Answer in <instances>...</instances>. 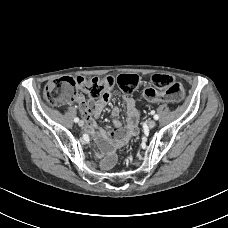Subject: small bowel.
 <instances>
[{
  "label": "small bowel",
  "instance_id": "c3829d8e",
  "mask_svg": "<svg viewBox=\"0 0 228 228\" xmlns=\"http://www.w3.org/2000/svg\"><path fill=\"white\" fill-rule=\"evenodd\" d=\"M110 91L104 93L100 98L86 102L83 99L79 100V106L82 111L83 119L86 123L85 131L93 134L100 148L104 152L107 166H111L114 163L115 152L125 145L132 137L138 133V122L140 118V112L135 106V100L124 96V105L127 113V125L122 128L121 123L116 117L120 114L118 107H114L111 111L113 120V130L106 132L99 128L94 118L100 116L103 108L106 106L110 99Z\"/></svg>",
  "mask_w": 228,
  "mask_h": 228
}]
</instances>
